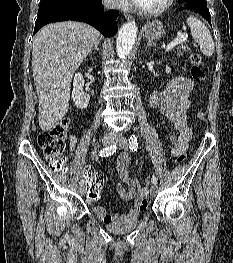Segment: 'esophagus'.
Segmentation results:
<instances>
[{"label": "esophagus", "mask_w": 233, "mask_h": 263, "mask_svg": "<svg viewBox=\"0 0 233 263\" xmlns=\"http://www.w3.org/2000/svg\"><path fill=\"white\" fill-rule=\"evenodd\" d=\"M124 16L128 20H132V18H133V16L131 14H128V13H124Z\"/></svg>", "instance_id": "esophagus-1"}]
</instances>
